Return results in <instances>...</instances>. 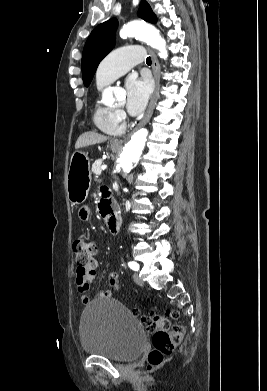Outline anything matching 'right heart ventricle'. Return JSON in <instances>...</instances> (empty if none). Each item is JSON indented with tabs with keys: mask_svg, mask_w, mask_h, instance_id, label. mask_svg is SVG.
I'll list each match as a JSON object with an SVG mask.
<instances>
[{
	"mask_svg": "<svg viewBox=\"0 0 267 391\" xmlns=\"http://www.w3.org/2000/svg\"><path fill=\"white\" fill-rule=\"evenodd\" d=\"M93 122L99 130L108 135L116 136L124 131V125L119 114L100 102H96L94 105Z\"/></svg>",
	"mask_w": 267,
	"mask_h": 391,
	"instance_id": "e07e8e85",
	"label": "right heart ventricle"
}]
</instances>
